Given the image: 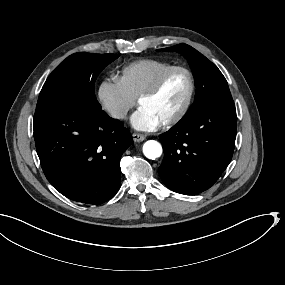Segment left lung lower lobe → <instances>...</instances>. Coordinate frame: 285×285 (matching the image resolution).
<instances>
[{"mask_svg":"<svg viewBox=\"0 0 285 285\" xmlns=\"http://www.w3.org/2000/svg\"><path fill=\"white\" fill-rule=\"evenodd\" d=\"M236 123L234 103H214L186 114L161 134L164 159L158 170L163 183L185 195L209 189L232 159Z\"/></svg>","mask_w":285,"mask_h":285,"instance_id":"0a47b994","label":"left lung lower lobe"}]
</instances>
